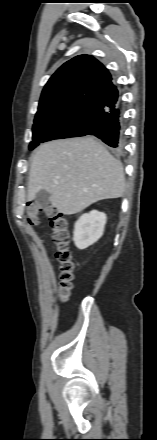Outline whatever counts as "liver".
Instances as JSON below:
<instances>
[{
    "label": "liver",
    "mask_w": 157,
    "mask_h": 440,
    "mask_svg": "<svg viewBox=\"0 0 157 440\" xmlns=\"http://www.w3.org/2000/svg\"><path fill=\"white\" fill-rule=\"evenodd\" d=\"M41 190L58 211L75 214L97 201L121 197L123 166L92 137L47 142L33 156L27 199Z\"/></svg>",
    "instance_id": "6515ba94"
}]
</instances>
